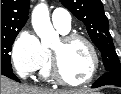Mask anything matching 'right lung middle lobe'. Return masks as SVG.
Masks as SVG:
<instances>
[{"label": "right lung middle lobe", "mask_w": 121, "mask_h": 94, "mask_svg": "<svg viewBox=\"0 0 121 94\" xmlns=\"http://www.w3.org/2000/svg\"><path fill=\"white\" fill-rule=\"evenodd\" d=\"M19 31L1 34V70L12 71L9 52Z\"/></svg>", "instance_id": "dd1d6c3e"}]
</instances>
